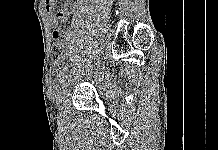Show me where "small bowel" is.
I'll return each mask as SVG.
<instances>
[{"mask_svg":"<svg viewBox=\"0 0 218 150\" xmlns=\"http://www.w3.org/2000/svg\"><path fill=\"white\" fill-rule=\"evenodd\" d=\"M73 2L74 0H65L63 8L57 14H54L57 0H46V9L51 16L52 24L55 30L60 28L61 23L67 21L73 9Z\"/></svg>","mask_w":218,"mask_h":150,"instance_id":"obj_1","label":"small bowel"}]
</instances>
